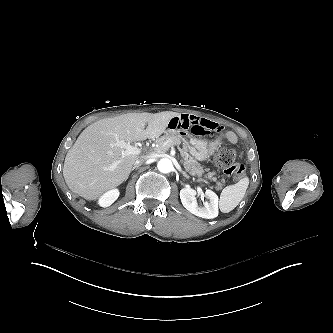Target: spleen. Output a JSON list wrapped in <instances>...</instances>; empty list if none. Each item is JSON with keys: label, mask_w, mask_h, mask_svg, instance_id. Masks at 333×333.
I'll return each instance as SVG.
<instances>
[{"label": "spleen", "mask_w": 333, "mask_h": 333, "mask_svg": "<svg viewBox=\"0 0 333 333\" xmlns=\"http://www.w3.org/2000/svg\"><path fill=\"white\" fill-rule=\"evenodd\" d=\"M248 186V177L240 179L236 184L226 186L220 194V211L223 213H229L235 209L244 198Z\"/></svg>", "instance_id": "3e777b00"}]
</instances>
